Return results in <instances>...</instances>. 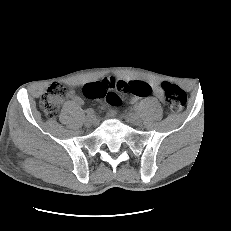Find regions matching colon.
I'll list each match as a JSON object with an SVG mask.
<instances>
[{
    "label": "colon",
    "instance_id": "obj_1",
    "mask_svg": "<svg viewBox=\"0 0 231 231\" xmlns=\"http://www.w3.org/2000/svg\"><path fill=\"white\" fill-rule=\"evenodd\" d=\"M164 92V100L173 113L180 112L186 104L185 92L170 82L163 81L160 85ZM151 91L150 85L143 81H116L104 79L99 82L89 83L83 87L84 95L89 99H106L113 105L121 102L120 94H132L145 97ZM68 86L61 83H53L44 93L40 100V106L44 114L53 119L59 112L62 101L69 95Z\"/></svg>",
    "mask_w": 231,
    "mask_h": 231
}]
</instances>
